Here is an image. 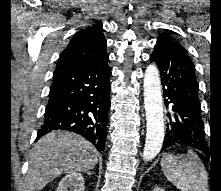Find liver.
<instances>
[{
	"label": "liver",
	"mask_w": 221,
	"mask_h": 191,
	"mask_svg": "<svg viewBox=\"0 0 221 191\" xmlns=\"http://www.w3.org/2000/svg\"><path fill=\"white\" fill-rule=\"evenodd\" d=\"M95 147L67 131H52L42 137L30 154L26 191H40L61 174L89 172L98 162Z\"/></svg>",
	"instance_id": "liver-1"
}]
</instances>
